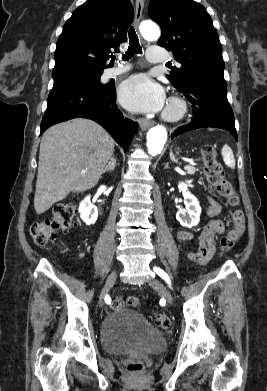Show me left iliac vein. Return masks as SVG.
Masks as SVG:
<instances>
[{
	"mask_svg": "<svg viewBox=\"0 0 267 391\" xmlns=\"http://www.w3.org/2000/svg\"><path fill=\"white\" fill-rule=\"evenodd\" d=\"M149 285L154 288L169 304L173 303V297L170 291L156 278L148 281Z\"/></svg>",
	"mask_w": 267,
	"mask_h": 391,
	"instance_id": "left-iliac-vein-1",
	"label": "left iliac vein"
}]
</instances>
